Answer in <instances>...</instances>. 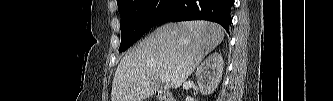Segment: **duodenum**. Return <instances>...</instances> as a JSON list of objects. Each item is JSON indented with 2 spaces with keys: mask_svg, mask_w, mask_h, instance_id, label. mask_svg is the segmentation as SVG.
<instances>
[{
  "mask_svg": "<svg viewBox=\"0 0 333 101\" xmlns=\"http://www.w3.org/2000/svg\"><path fill=\"white\" fill-rule=\"evenodd\" d=\"M157 97L160 101H175L174 98L170 95V93L166 90H161L157 92Z\"/></svg>",
  "mask_w": 333,
  "mask_h": 101,
  "instance_id": "duodenum-1",
  "label": "duodenum"
}]
</instances>
